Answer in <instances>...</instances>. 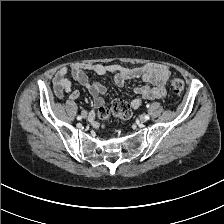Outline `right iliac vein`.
Returning a JSON list of instances; mask_svg holds the SVG:
<instances>
[{
    "label": "right iliac vein",
    "mask_w": 224,
    "mask_h": 224,
    "mask_svg": "<svg viewBox=\"0 0 224 224\" xmlns=\"http://www.w3.org/2000/svg\"><path fill=\"white\" fill-rule=\"evenodd\" d=\"M82 117H83V118H86V117H87V112H86V111H83V112H82Z\"/></svg>",
    "instance_id": "right-iliac-vein-1"
}]
</instances>
